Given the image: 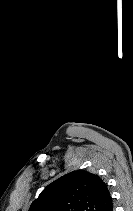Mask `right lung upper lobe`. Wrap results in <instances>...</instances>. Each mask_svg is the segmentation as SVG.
Masks as SVG:
<instances>
[{"instance_id": "obj_1", "label": "right lung upper lobe", "mask_w": 133, "mask_h": 211, "mask_svg": "<svg viewBox=\"0 0 133 211\" xmlns=\"http://www.w3.org/2000/svg\"><path fill=\"white\" fill-rule=\"evenodd\" d=\"M112 198L98 176L78 170L49 184L29 211H112Z\"/></svg>"}]
</instances>
